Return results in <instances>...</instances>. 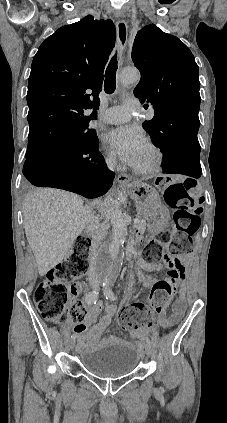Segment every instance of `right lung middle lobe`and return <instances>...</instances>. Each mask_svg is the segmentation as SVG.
I'll return each instance as SVG.
<instances>
[{
	"instance_id": "dd1d6c3e",
	"label": "right lung middle lobe",
	"mask_w": 227,
	"mask_h": 423,
	"mask_svg": "<svg viewBox=\"0 0 227 423\" xmlns=\"http://www.w3.org/2000/svg\"><path fill=\"white\" fill-rule=\"evenodd\" d=\"M98 143V138L95 133H92L68 146H66L65 150L68 152H76L85 150L95 144ZM35 156V155H26V159Z\"/></svg>"
}]
</instances>
